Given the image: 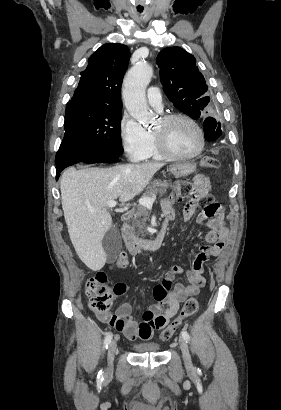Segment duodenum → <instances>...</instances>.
Instances as JSON below:
<instances>
[{
  "label": "duodenum",
  "instance_id": "obj_1",
  "mask_svg": "<svg viewBox=\"0 0 281 410\" xmlns=\"http://www.w3.org/2000/svg\"><path fill=\"white\" fill-rule=\"evenodd\" d=\"M133 213L132 211L125 212L122 215V227L124 228L125 224L130 220L132 217ZM166 225H163L160 231L158 232L156 238L152 240H143V239H137L134 237L127 236L126 237V247L127 250L129 251L130 254L137 255L140 253L142 250L145 249H152V250H157L159 249L165 240L166 236Z\"/></svg>",
  "mask_w": 281,
  "mask_h": 410
}]
</instances>
